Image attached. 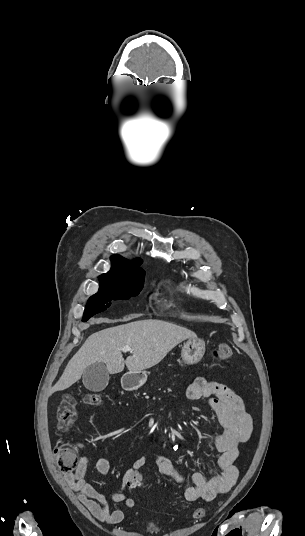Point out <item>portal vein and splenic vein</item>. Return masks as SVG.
<instances>
[{
    "label": "portal vein and splenic vein",
    "instance_id": "18ae733b",
    "mask_svg": "<svg viewBox=\"0 0 305 536\" xmlns=\"http://www.w3.org/2000/svg\"><path fill=\"white\" fill-rule=\"evenodd\" d=\"M132 348L130 346H123L122 352H131Z\"/></svg>",
    "mask_w": 305,
    "mask_h": 536
}]
</instances>
